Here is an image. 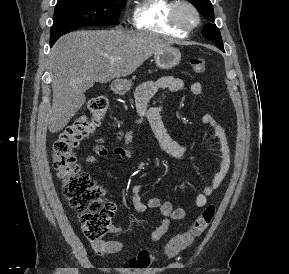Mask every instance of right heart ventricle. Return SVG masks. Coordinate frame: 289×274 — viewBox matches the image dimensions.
Listing matches in <instances>:
<instances>
[{"instance_id": "right-heart-ventricle-1", "label": "right heart ventricle", "mask_w": 289, "mask_h": 274, "mask_svg": "<svg viewBox=\"0 0 289 274\" xmlns=\"http://www.w3.org/2000/svg\"><path fill=\"white\" fill-rule=\"evenodd\" d=\"M175 0H139L133 10V24L137 30L161 35L184 37L185 33L169 22Z\"/></svg>"}]
</instances>
